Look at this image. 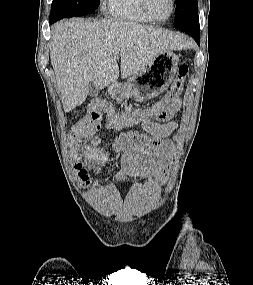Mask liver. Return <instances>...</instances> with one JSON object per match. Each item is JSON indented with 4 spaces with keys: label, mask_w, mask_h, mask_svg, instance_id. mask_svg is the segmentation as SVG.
<instances>
[{
    "label": "liver",
    "mask_w": 253,
    "mask_h": 285,
    "mask_svg": "<svg viewBox=\"0 0 253 285\" xmlns=\"http://www.w3.org/2000/svg\"><path fill=\"white\" fill-rule=\"evenodd\" d=\"M51 33L50 59L65 112L85 102L91 81L103 89L117 82L120 71L128 78L160 53L188 45L161 28L116 20H62Z\"/></svg>",
    "instance_id": "6515ba94"
}]
</instances>
